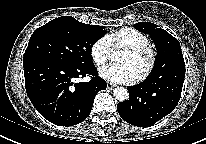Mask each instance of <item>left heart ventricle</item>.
<instances>
[{"mask_svg": "<svg viewBox=\"0 0 206 144\" xmlns=\"http://www.w3.org/2000/svg\"><path fill=\"white\" fill-rule=\"evenodd\" d=\"M119 62L129 64L134 69L136 75L138 76L146 67L147 56L146 55L135 56L127 51H123V53L119 58Z\"/></svg>", "mask_w": 206, "mask_h": 144, "instance_id": "obj_1", "label": "left heart ventricle"}]
</instances>
